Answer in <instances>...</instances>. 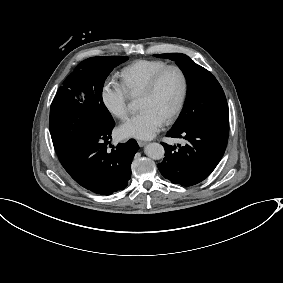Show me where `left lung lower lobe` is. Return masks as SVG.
Listing matches in <instances>:
<instances>
[{"label":"left lung lower lobe","mask_w":283,"mask_h":283,"mask_svg":"<svg viewBox=\"0 0 283 283\" xmlns=\"http://www.w3.org/2000/svg\"><path fill=\"white\" fill-rule=\"evenodd\" d=\"M229 122L199 124L184 130L171 129L168 137L184 138L185 146L162 143L165 157L158 164L164 178L174 184L192 186L207 178L224 155Z\"/></svg>","instance_id":"obj_1"}]
</instances>
